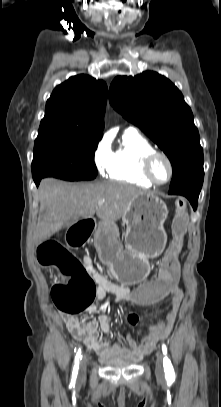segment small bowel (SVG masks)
<instances>
[{
    "label": "small bowel",
    "instance_id": "small-bowel-1",
    "mask_svg": "<svg viewBox=\"0 0 221 407\" xmlns=\"http://www.w3.org/2000/svg\"><path fill=\"white\" fill-rule=\"evenodd\" d=\"M83 262L86 270L96 283L95 298L97 300H104L106 295L110 293L114 295L117 302L129 301L134 303L131 284H113L94 269L92 261L88 256H84ZM166 294L171 297V309L164 320L151 326L149 334L144 336L140 343L130 337L128 339V348L118 344H110L106 340V336L110 334L111 328L114 325V320L109 314H101L98 319H90L83 322L75 316L64 314V323L75 339L82 340L89 349L96 351L101 358L139 360L144 355L149 354L160 340L165 339L174 325L183 299V292L179 286H176L175 292H166ZM158 306L161 308L163 305L160 303ZM145 310L148 312L150 309L147 307ZM87 312L95 314L97 307L90 305L87 308ZM138 320L139 318L136 314L129 315V322L131 324H136ZM99 330L104 335L103 339H99Z\"/></svg>",
    "mask_w": 221,
    "mask_h": 407
}]
</instances>
